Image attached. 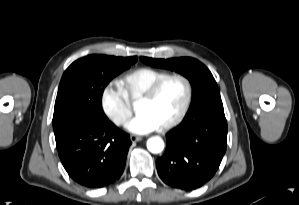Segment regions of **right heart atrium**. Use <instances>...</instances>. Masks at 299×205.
<instances>
[{
  "instance_id": "1",
  "label": "right heart atrium",
  "mask_w": 299,
  "mask_h": 205,
  "mask_svg": "<svg viewBox=\"0 0 299 205\" xmlns=\"http://www.w3.org/2000/svg\"><path fill=\"white\" fill-rule=\"evenodd\" d=\"M100 106L107 118L116 126H124L132 114L131 105L120 87L110 82L100 95Z\"/></svg>"
}]
</instances>
